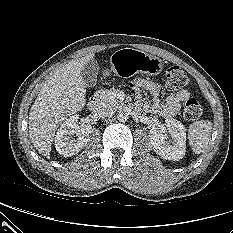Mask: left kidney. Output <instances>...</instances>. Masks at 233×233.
Instances as JSON below:
<instances>
[{
	"instance_id": "5707ae66",
	"label": "left kidney",
	"mask_w": 233,
	"mask_h": 233,
	"mask_svg": "<svg viewBox=\"0 0 233 233\" xmlns=\"http://www.w3.org/2000/svg\"><path fill=\"white\" fill-rule=\"evenodd\" d=\"M165 125L171 139L167 141V129L153 127L149 133L151 146L154 152L162 158L178 161L184 157L186 152V129L176 119H167Z\"/></svg>"
}]
</instances>
